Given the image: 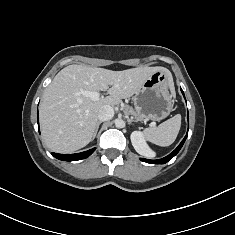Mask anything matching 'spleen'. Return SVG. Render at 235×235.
Here are the masks:
<instances>
[{"label":"spleen","instance_id":"3e777b00","mask_svg":"<svg viewBox=\"0 0 235 235\" xmlns=\"http://www.w3.org/2000/svg\"><path fill=\"white\" fill-rule=\"evenodd\" d=\"M180 126L181 115L177 114L161 123L159 126L146 128L143 131V135L151 143L165 147L171 145L175 141Z\"/></svg>","mask_w":235,"mask_h":235}]
</instances>
